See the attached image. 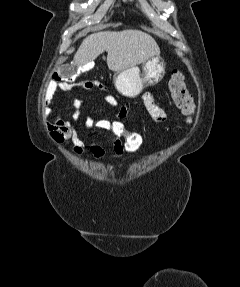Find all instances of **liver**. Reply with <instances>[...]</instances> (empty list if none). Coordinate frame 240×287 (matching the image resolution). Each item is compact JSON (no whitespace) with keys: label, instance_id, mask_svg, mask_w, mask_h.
<instances>
[{"label":"liver","instance_id":"1","mask_svg":"<svg viewBox=\"0 0 240 287\" xmlns=\"http://www.w3.org/2000/svg\"><path fill=\"white\" fill-rule=\"evenodd\" d=\"M104 51L108 53V68L115 72L134 67L160 54L154 38L145 32L133 29L103 31L91 34L82 41L74 56L75 64H92Z\"/></svg>","mask_w":240,"mask_h":287}]
</instances>
